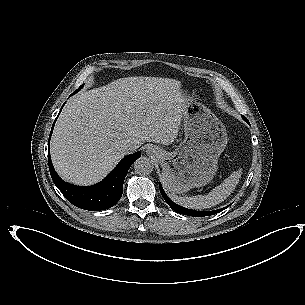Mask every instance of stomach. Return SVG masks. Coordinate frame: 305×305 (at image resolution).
<instances>
[{"label":"stomach","mask_w":305,"mask_h":305,"mask_svg":"<svg viewBox=\"0 0 305 305\" xmlns=\"http://www.w3.org/2000/svg\"><path fill=\"white\" fill-rule=\"evenodd\" d=\"M184 139L173 151L160 150L162 180L173 194L207 185L216 175L228 137L222 122L203 104L183 93Z\"/></svg>","instance_id":"obj_1"}]
</instances>
